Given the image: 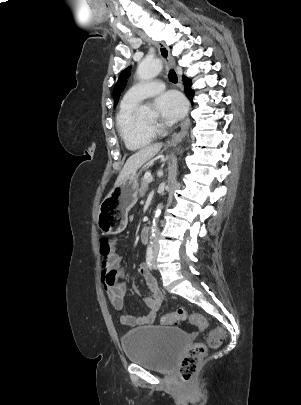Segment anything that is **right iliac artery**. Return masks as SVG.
<instances>
[{
	"instance_id": "1",
	"label": "right iliac artery",
	"mask_w": 301,
	"mask_h": 405,
	"mask_svg": "<svg viewBox=\"0 0 301 405\" xmlns=\"http://www.w3.org/2000/svg\"><path fill=\"white\" fill-rule=\"evenodd\" d=\"M152 259H153V250L152 247H148L146 251V263L150 269L152 268Z\"/></svg>"
}]
</instances>
